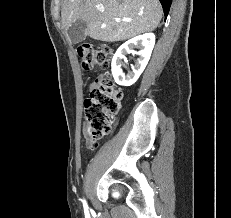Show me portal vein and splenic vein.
<instances>
[{
	"label": "portal vein and splenic vein",
	"mask_w": 231,
	"mask_h": 218,
	"mask_svg": "<svg viewBox=\"0 0 231 218\" xmlns=\"http://www.w3.org/2000/svg\"><path fill=\"white\" fill-rule=\"evenodd\" d=\"M96 8H97V10H99V11H101V12H102V11H104L103 6H101V5L96 6ZM115 21H116V22H120L121 20H120V19H118V18H116V19H115ZM123 21L129 22V21H130V19H128V18H124V19H123Z\"/></svg>",
	"instance_id": "portal-vein-and-splenic-vein-1"
}]
</instances>
